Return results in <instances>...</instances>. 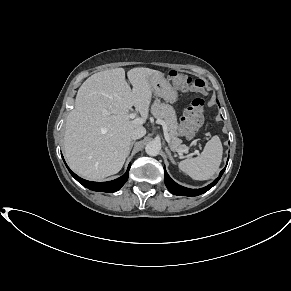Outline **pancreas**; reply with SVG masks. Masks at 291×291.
<instances>
[{
    "instance_id": "obj_1",
    "label": "pancreas",
    "mask_w": 291,
    "mask_h": 291,
    "mask_svg": "<svg viewBox=\"0 0 291 291\" xmlns=\"http://www.w3.org/2000/svg\"><path fill=\"white\" fill-rule=\"evenodd\" d=\"M151 112L155 118L161 119L167 124L172 144L178 149L186 148V146L182 144V140L178 138V124L174 108L169 104L155 101L152 105Z\"/></svg>"
}]
</instances>
